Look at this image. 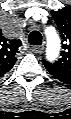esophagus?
Segmentation results:
<instances>
[{"mask_svg":"<svg viewBox=\"0 0 71 119\" xmlns=\"http://www.w3.org/2000/svg\"><path fill=\"white\" fill-rule=\"evenodd\" d=\"M32 52L34 53H41L44 50L43 45H35L31 47Z\"/></svg>","mask_w":71,"mask_h":119,"instance_id":"1","label":"esophagus"}]
</instances>
